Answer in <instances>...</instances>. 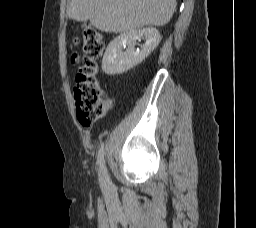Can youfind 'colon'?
Listing matches in <instances>:
<instances>
[{
    "mask_svg": "<svg viewBox=\"0 0 256 228\" xmlns=\"http://www.w3.org/2000/svg\"><path fill=\"white\" fill-rule=\"evenodd\" d=\"M82 65L74 84L76 113L81 123H91L105 115L111 107V101L104 97L98 79V60L104 51V40L99 31L90 25L83 29ZM73 63L79 62L78 55L71 58Z\"/></svg>",
    "mask_w": 256,
    "mask_h": 228,
    "instance_id": "colon-1",
    "label": "colon"
}]
</instances>
